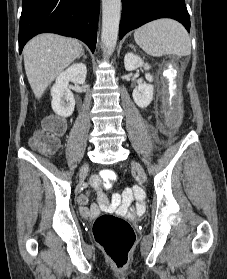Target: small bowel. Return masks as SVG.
I'll return each instance as SVG.
<instances>
[{
	"instance_id": "c3829d8e",
	"label": "small bowel",
	"mask_w": 227,
	"mask_h": 279,
	"mask_svg": "<svg viewBox=\"0 0 227 279\" xmlns=\"http://www.w3.org/2000/svg\"><path fill=\"white\" fill-rule=\"evenodd\" d=\"M105 171L108 170H103L102 172ZM99 178L100 176H93L90 181L91 187L98 192V204L91 205L89 207L81 206L79 207L80 213L84 216H90L93 214H97L100 209H104L108 211H117L120 214H128L130 216H133L134 212L129 208L130 203L132 201L131 194L129 192H125L124 193L125 197L123 199H121V196L118 193H115L111 197H108V195L103 191ZM132 190L135 193L140 192V189L137 186H134ZM78 200L81 204H84L88 200V195L86 194L80 195ZM145 206H146L145 202L138 201L135 205V211L136 212L142 211L145 208Z\"/></svg>"
}]
</instances>
